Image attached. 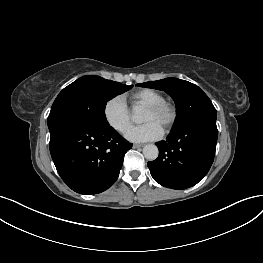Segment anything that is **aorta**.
<instances>
[{"instance_id": "1", "label": "aorta", "mask_w": 263, "mask_h": 263, "mask_svg": "<svg viewBox=\"0 0 263 263\" xmlns=\"http://www.w3.org/2000/svg\"><path fill=\"white\" fill-rule=\"evenodd\" d=\"M133 120L135 122H140L142 120L141 109L138 106L133 108ZM158 154V148L154 144H147L143 147V155L147 160H155Z\"/></svg>"}]
</instances>
